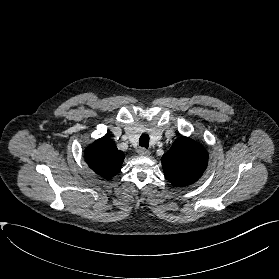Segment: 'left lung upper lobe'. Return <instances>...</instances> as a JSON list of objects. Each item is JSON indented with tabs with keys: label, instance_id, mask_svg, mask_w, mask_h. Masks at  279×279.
<instances>
[{
	"label": "left lung upper lobe",
	"instance_id": "obj_1",
	"mask_svg": "<svg viewBox=\"0 0 279 279\" xmlns=\"http://www.w3.org/2000/svg\"><path fill=\"white\" fill-rule=\"evenodd\" d=\"M207 164L208 154L204 147L187 137L177 139L162 157L165 177L174 186H187L196 182Z\"/></svg>",
	"mask_w": 279,
	"mask_h": 279
}]
</instances>
